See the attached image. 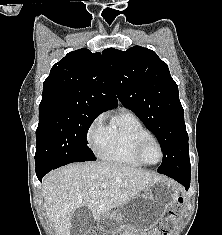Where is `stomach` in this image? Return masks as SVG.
<instances>
[{"mask_svg": "<svg viewBox=\"0 0 222 235\" xmlns=\"http://www.w3.org/2000/svg\"><path fill=\"white\" fill-rule=\"evenodd\" d=\"M178 197L174 182H154L116 211L102 216L98 227L107 235H148Z\"/></svg>", "mask_w": 222, "mask_h": 235, "instance_id": "stomach-1", "label": "stomach"}]
</instances>
